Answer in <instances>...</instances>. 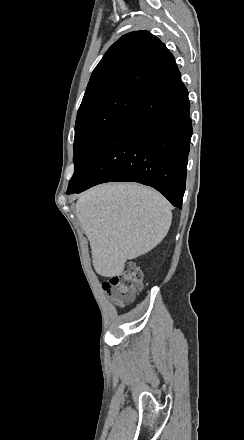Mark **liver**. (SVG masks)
<instances>
[{
	"instance_id": "1",
	"label": "liver",
	"mask_w": 244,
	"mask_h": 440,
	"mask_svg": "<svg viewBox=\"0 0 244 440\" xmlns=\"http://www.w3.org/2000/svg\"><path fill=\"white\" fill-rule=\"evenodd\" d=\"M76 212L90 242L94 270L104 278L120 276L127 260L153 250L172 222L167 200L136 182L95 186L77 200Z\"/></svg>"
}]
</instances>
